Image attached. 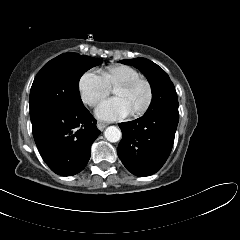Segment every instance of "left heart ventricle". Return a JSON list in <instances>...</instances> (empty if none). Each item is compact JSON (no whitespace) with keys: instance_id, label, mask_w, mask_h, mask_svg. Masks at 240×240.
I'll list each match as a JSON object with an SVG mask.
<instances>
[{"instance_id":"obj_1","label":"left heart ventricle","mask_w":240,"mask_h":240,"mask_svg":"<svg viewBox=\"0 0 240 240\" xmlns=\"http://www.w3.org/2000/svg\"><path fill=\"white\" fill-rule=\"evenodd\" d=\"M114 94L124 98L132 111L139 109L147 99V89L144 85H138L132 89L117 87L114 89Z\"/></svg>"}]
</instances>
